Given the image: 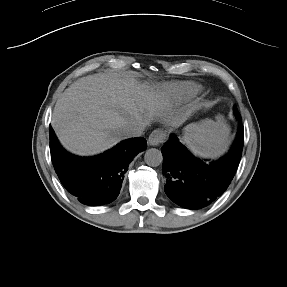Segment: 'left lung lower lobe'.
Masks as SVG:
<instances>
[{
  "label": "left lung lower lobe",
  "instance_id": "0a47b994",
  "mask_svg": "<svg viewBox=\"0 0 287 287\" xmlns=\"http://www.w3.org/2000/svg\"><path fill=\"white\" fill-rule=\"evenodd\" d=\"M236 141L230 152L220 160L204 163L193 157L171 135L161 148L164 152L163 174L166 178L164 191L177 205L187 209H200L209 205L229 186L239 164L244 132L241 116Z\"/></svg>",
  "mask_w": 287,
  "mask_h": 287
}]
</instances>
